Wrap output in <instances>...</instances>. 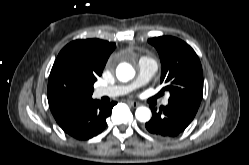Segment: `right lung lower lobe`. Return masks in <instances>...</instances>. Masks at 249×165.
I'll use <instances>...</instances> for the list:
<instances>
[{
    "instance_id": "right-lung-lower-lobe-1",
    "label": "right lung lower lobe",
    "mask_w": 249,
    "mask_h": 165,
    "mask_svg": "<svg viewBox=\"0 0 249 165\" xmlns=\"http://www.w3.org/2000/svg\"><path fill=\"white\" fill-rule=\"evenodd\" d=\"M99 100L77 103L52 113L58 125L68 135L87 140L101 133L106 127V118L110 116L113 106Z\"/></svg>"
}]
</instances>
